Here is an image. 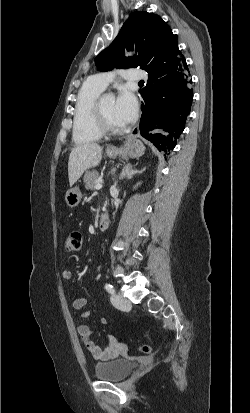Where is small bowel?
I'll list each match as a JSON object with an SVG mask.
<instances>
[{
	"mask_svg": "<svg viewBox=\"0 0 250 413\" xmlns=\"http://www.w3.org/2000/svg\"><path fill=\"white\" fill-rule=\"evenodd\" d=\"M62 277L65 280H72L74 278V272L71 269H65L62 272ZM87 305V299L80 297L72 301V307L76 310H81L79 317L81 319H86L89 316V311L84 310ZM101 324H104L106 320L101 319ZM78 334L86 346L87 350L93 356L94 359L100 361H108L115 359L121 352V345L115 336H109V344L106 348H100L93 340V331L88 325H80L78 327Z\"/></svg>",
	"mask_w": 250,
	"mask_h": 413,
	"instance_id": "obj_1",
	"label": "small bowel"
}]
</instances>
